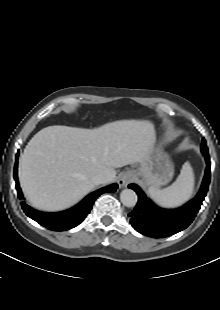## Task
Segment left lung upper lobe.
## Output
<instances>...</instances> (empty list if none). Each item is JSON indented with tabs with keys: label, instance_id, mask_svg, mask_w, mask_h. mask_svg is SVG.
<instances>
[{
	"label": "left lung upper lobe",
	"instance_id": "left-lung-upper-lobe-1",
	"mask_svg": "<svg viewBox=\"0 0 220 310\" xmlns=\"http://www.w3.org/2000/svg\"><path fill=\"white\" fill-rule=\"evenodd\" d=\"M201 151H202V153L208 151V148L206 146V141L204 138L202 139Z\"/></svg>",
	"mask_w": 220,
	"mask_h": 310
}]
</instances>
